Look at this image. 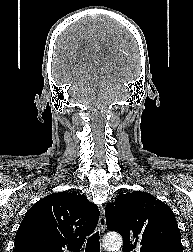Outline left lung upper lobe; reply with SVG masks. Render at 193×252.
I'll return each mask as SVG.
<instances>
[{
	"label": "left lung upper lobe",
	"instance_id": "obj_1",
	"mask_svg": "<svg viewBox=\"0 0 193 252\" xmlns=\"http://www.w3.org/2000/svg\"><path fill=\"white\" fill-rule=\"evenodd\" d=\"M105 211L108 230L123 237V252H183L173 211L150 193H121Z\"/></svg>",
	"mask_w": 193,
	"mask_h": 252
}]
</instances>
